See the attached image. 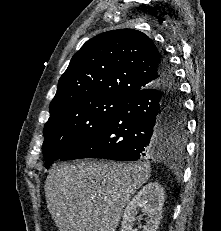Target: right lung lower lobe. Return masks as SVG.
<instances>
[{
    "label": "right lung lower lobe",
    "instance_id": "right-lung-lower-lobe-1",
    "mask_svg": "<svg viewBox=\"0 0 221 231\" xmlns=\"http://www.w3.org/2000/svg\"><path fill=\"white\" fill-rule=\"evenodd\" d=\"M162 52V51H161ZM163 54L158 83L127 98L95 133L61 160L103 158L120 161L158 156L171 143L163 135L167 105L181 96L168 58Z\"/></svg>",
    "mask_w": 221,
    "mask_h": 231
}]
</instances>
